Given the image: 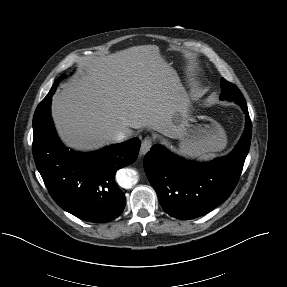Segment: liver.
Wrapping results in <instances>:
<instances>
[{"label": "liver", "instance_id": "obj_1", "mask_svg": "<svg viewBox=\"0 0 287 287\" xmlns=\"http://www.w3.org/2000/svg\"><path fill=\"white\" fill-rule=\"evenodd\" d=\"M78 72L52 99V117L66 146L96 150L112 143L116 132L129 136L144 127L178 137L189 99L158 46L89 56L80 61Z\"/></svg>", "mask_w": 287, "mask_h": 287}]
</instances>
